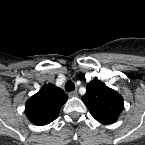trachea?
I'll return each mask as SVG.
<instances>
[{"instance_id":"obj_1","label":"trachea","mask_w":145,"mask_h":145,"mask_svg":"<svg viewBox=\"0 0 145 145\" xmlns=\"http://www.w3.org/2000/svg\"><path fill=\"white\" fill-rule=\"evenodd\" d=\"M65 90L67 92L75 90V84L72 81H67L65 84Z\"/></svg>"}]
</instances>
